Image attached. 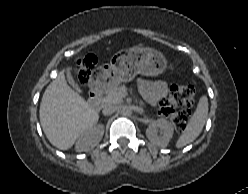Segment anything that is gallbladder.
Segmentation results:
<instances>
[{
	"instance_id": "gallbladder-1",
	"label": "gallbladder",
	"mask_w": 248,
	"mask_h": 194,
	"mask_svg": "<svg viewBox=\"0 0 248 194\" xmlns=\"http://www.w3.org/2000/svg\"><path fill=\"white\" fill-rule=\"evenodd\" d=\"M66 75H67L68 82L73 86V88L79 91L77 84L75 83L73 77L71 76L70 69L66 70Z\"/></svg>"
}]
</instances>
